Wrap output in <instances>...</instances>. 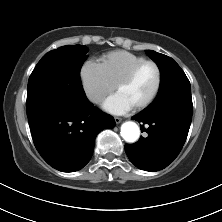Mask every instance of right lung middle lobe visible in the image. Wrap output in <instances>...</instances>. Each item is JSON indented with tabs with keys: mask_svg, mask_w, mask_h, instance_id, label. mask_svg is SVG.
<instances>
[{
	"mask_svg": "<svg viewBox=\"0 0 222 222\" xmlns=\"http://www.w3.org/2000/svg\"><path fill=\"white\" fill-rule=\"evenodd\" d=\"M89 49L83 45L62 46L46 53L30 75L27 109L50 105L72 107L86 100L80 69Z\"/></svg>",
	"mask_w": 222,
	"mask_h": 222,
	"instance_id": "dd1d6c3e",
	"label": "right lung middle lobe"
}]
</instances>
